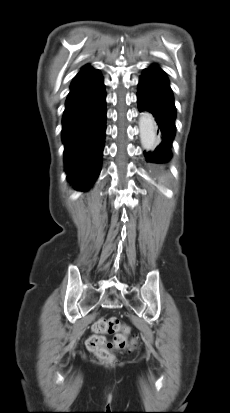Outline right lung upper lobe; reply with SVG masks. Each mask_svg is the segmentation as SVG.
I'll return each instance as SVG.
<instances>
[{
  "instance_id": "1",
  "label": "right lung upper lobe",
  "mask_w": 230,
  "mask_h": 413,
  "mask_svg": "<svg viewBox=\"0 0 230 413\" xmlns=\"http://www.w3.org/2000/svg\"><path fill=\"white\" fill-rule=\"evenodd\" d=\"M86 68H88V66H85L83 69H86Z\"/></svg>"
}]
</instances>
